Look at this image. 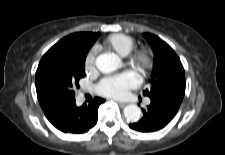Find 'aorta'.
Segmentation results:
<instances>
[{"mask_svg": "<svg viewBox=\"0 0 225 155\" xmlns=\"http://www.w3.org/2000/svg\"><path fill=\"white\" fill-rule=\"evenodd\" d=\"M95 65L100 72L107 74L117 70L121 62L115 55L101 54L96 58ZM124 116L129 122H137L141 117V109L135 104L127 105Z\"/></svg>", "mask_w": 225, "mask_h": 155, "instance_id": "762f6f07", "label": "aorta"}]
</instances>
